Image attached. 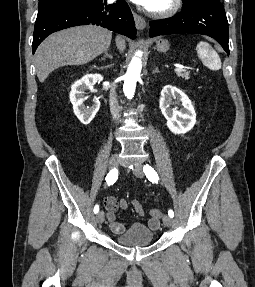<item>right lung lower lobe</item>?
Returning a JSON list of instances; mask_svg holds the SVG:
<instances>
[{
  "instance_id": "right-lung-lower-lobe-1",
  "label": "right lung lower lobe",
  "mask_w": 255,
  "mask_h": 287,
  "mask_svg": "<svg viewBox=\"0 0 255 287\" xmlns=\"http://www.w3.org/2000/svg\"><path fill=\"white\" fill-rule=\"evenodd\" d=\"M96 24L119 34L136 38L133 15L124 0H118L102 9L92 6H65L46 10L35 22L33 53L38 45L51 33L78 25Z\"/></svg>"
}]
</instances>
